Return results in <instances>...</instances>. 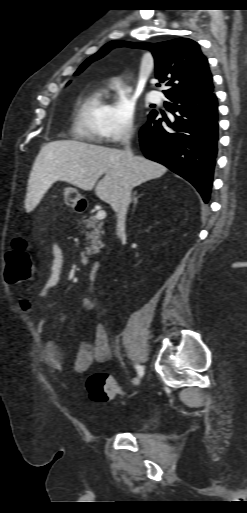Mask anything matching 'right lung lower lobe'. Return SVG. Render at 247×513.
I'll return each mask as SVG.
<instances>
[{"label":"right lung lower lobe","instance_id":"right-lung-lower-lobe-1","mask_svg":"<svg viewBox=\"0 0 247 513\" xmlns=\"http://www.w3.org/2000/svg\"><path fill=\"white\" fill-rule=\"evenodd\" d=\"M165 106L173 119L149 114L141 128L145 156L192 183L208 203L218 143V102L214 91L197 97H167ZM165 121L166 125H161Z\"/></svg>","mask_w":247,"mask_h":513}]
</instances>
